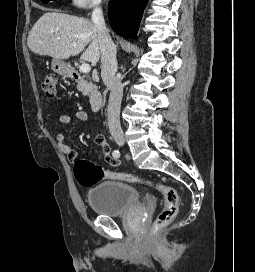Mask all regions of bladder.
I'll return each mask as SVG.
<instances>
[{
  "instance_id": "1",
  "label": "bladder",
  "mask_w": 255,
  "mask_h": 272,
  "mask_svg": "<svg viewBox=\"0 0 255 272\" xmlns=\"http://www.w3.org/2000/svg\"><path fill=\"white\" fill-rule=\"evenodd\" d=\"M92 210L101 216L114 217L125 214L139 204L137 189L121 181H104L86 193Z\"/></svg>"
}]
</instances>
